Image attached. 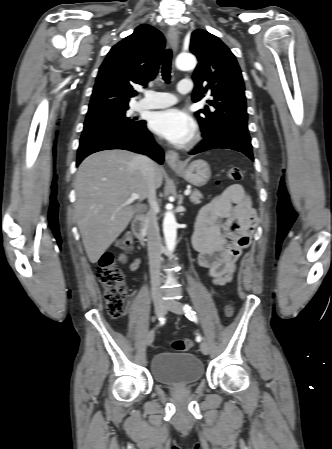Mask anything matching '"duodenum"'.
<instances>
[{
    "instance_id": "duodenum-1",
    "label": "duodenum",
    "mask_w": 332,
    "mask_h": 449,
    "mask_svg": "<svg viewBox=\"0 0 332 449\" xmlns=\"http://www.w3.org/2000/svg\"><path fill=\"white\" fill-rule=\"evenodd\" d=\"M144 227H145V216L143 214H140L134 218L131 225V231L142 244H144L146 241V234Z\"/></svg>"
}]
</instances>
